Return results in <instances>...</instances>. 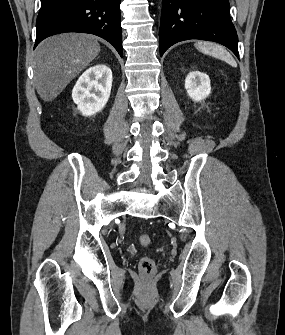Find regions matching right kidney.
<instances>
[{"label":"right kidney","mask_w":285,"mask_h":335,"mask_svg":"<svg viewBox=\"0 0 285 335\" xmlns=\"http://www.w3.org/2000/svg\"><path fill=\"white\" fill-rule=\"evenodd\" d=\"M112 88V72L105 64L86 70L77 80L72 98L82 116H94L106 106Z\"/></svg>","instance_id":"1"}]
</instances>
